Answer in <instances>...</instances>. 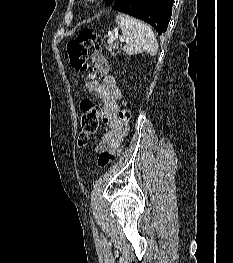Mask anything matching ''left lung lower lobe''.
Here are the masks:
<instances>
[{"label": "left lung lower lobe", "instance_id": "0a47b994", "mask_svg": "<svg viewBox=\"0 0 233 263\" xmlns=\"http://www.w3.org/2000/svg\"><path fill=\"white\" fill-rule=\"evenodd\" d=\"M174 0H115L112 9L152 25L159 34L167 30Z\"/></svg>", "mask_w": 233, "mask_h": 263}]
</instances>
